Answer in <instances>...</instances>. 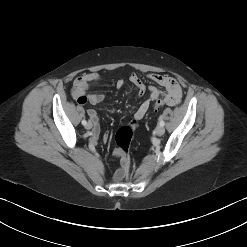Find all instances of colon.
<instances>
[{"label":"colon","instance_id":"obj_1","mask_svg":"<svg viewBox=\"0 0 247 247\" xmlns=\"http://www.w3.org/2000/svg\"><path fill=\"white\" fill-rule=\"evenodd\" d=\"M167 105L165 99H157L155 102V111L158 112ZM136 128V122H132L128 126L121 127L115 136L116 149L115 154L120 158V174L121 177L126 178L130 168L129 147L133 138L134 129Z\"/></svg>","mask_w":247,"mask_h":247}]
</instances>
